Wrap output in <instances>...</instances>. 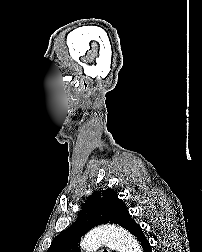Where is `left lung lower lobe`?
Masks as SVG:
<instances>
[{
  "instance_id": "obj_1",
  "label": "left lung lower lobe",
  "mask_w": 202,
  "mask_h": 252,
  "mask_svg": "<svg viewBox=\"0 0 202 252\" xmlns=\"http://www.w3.org/2000/svg\"><path fill=\"white\" fill-rule=\"evenodd\" d=\"M129 232H131L139 241L143 252H152L151 251V246L148 242V240L146 239V237L143 235L142 232V228L140 227V225H138L137 223H135L129 230Z\"/></svg>"
}]
</instances>
